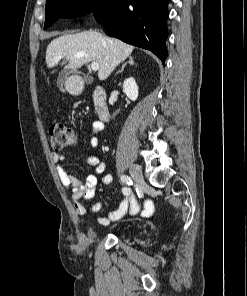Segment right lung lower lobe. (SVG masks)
Masks as SVG:
<instances>
[{
  "label": "right lung lower lobe",
  "mask_w": 247,
  "mask_h": 296,
  "mask_svg": "<svg viewBox=\"0 0 247 296\" xmlns=\"http://www.w3.org/2000/svg\"><path fill=\"white\" fill-rule=\"evenodd\" d=\"M169 1L111 0L105 11L94 16L109 36L152 51L164 64Z\"/></svg>",
  "instance_id": "obj_1"
}]
</instances>
